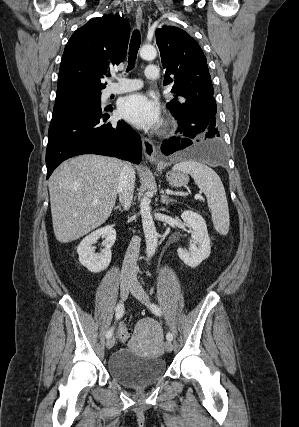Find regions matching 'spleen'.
Returning a JSON list of instances; mask_svg holds the SVG:
<instances>
[{"instance_id": "spleen-1", "label": "spleen", "mask_w": 299, "mask_h": 427, "mask_svg": "<svg viewBox=\"0 0 299 427\" xmlns=\"http://www.w3.org/2000/svg\"><path fill=\"white\" fill-rule=\"evenodd\" d=\"M173 171L190 174L195 184L205 194L216 231L226 235L229 231V208L224 186L217 173L201 162L185 160L175 164Z\"/></svg>"}]
</instances>
